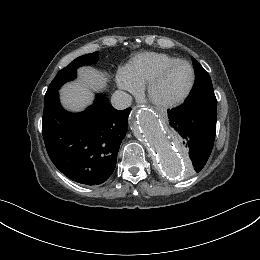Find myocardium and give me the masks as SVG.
<instances>
[{
    "mask_svg": "<svg viewBox=\"0 0 260 260\" xmlns=\"http://www.w3.org/2000/svg\"><path fill=\"white\" fill-rule=\"evenodd\" d=\"M185 64L187 66H189V68L191 69V73H192V78H191V82L188 86V88L186 89V91L180 95L179 97L173 99V100H157L156 98H154L153 92L155 90V88L162 82V80L165 78V76L175 67ZM196 82V72L195 69L193 67V65L191 63H189L188 61L185 60H178L176 62L170 63L166 66H164L163 68H161L148 82L147 85V97L149 99L150 102H152L154 105L161 107V108H171V107H175L180 105L181 103H183L188 96L190 95V93L192 92L194 85Z\"/></svg>",
    "mask_w": 260,
    "mask_h": 260,
    "instance_id": "myocardium-1",
    "label": "myocardium"
}]
</instances>
